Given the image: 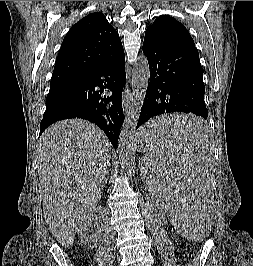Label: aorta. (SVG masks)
I'll use <instances>...</instances> for the list:
<instances>
[{
	"instance_id": "762f6f07",
	"label": "aorta",
	"mask_w": 253,
	"mask_h": 266,
	"mask_svg": "<svg viewBox=\"0 0 253 266\" xmlns=\"http://www.w3.org/2000/svg\"><path fill=\"white\" fill-rule=\"evenodd\" d=\"M150 78L147 58L142 55L132 70V103L125 117L118 140V152L121 168L130 170L135 153V130L144 103L146 89Z\"/></svg>"
}]
</instances>
